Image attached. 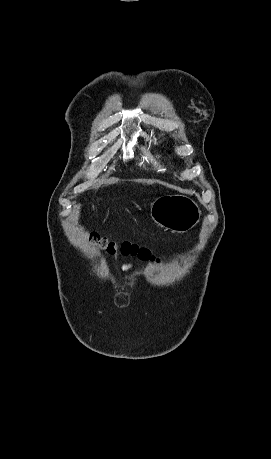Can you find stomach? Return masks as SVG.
I'll use <instances>...</instances> for the list:
<instances>
[{
  "mask_svg": "<svg viewBox=\"0 0 271 459\" xmlns=\"http://www.w3.org/2000/svg\"><path fill=\"white\" fill-rule=\"evenodd\" d=\"M150 216L161 228L184 233L198 224L201 212L186 196H162L151 204Z\"/></svg>",
  "mask_w": 271,
  "mask_h": 459,
  "instance_id": "1",
  "label": "stomach"
}]
</instances>
